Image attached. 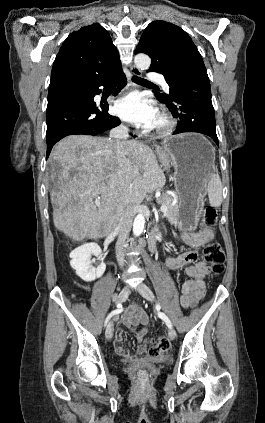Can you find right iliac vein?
<instances>
[{
	"label": "right iliac vein",
	"instance_id": "obj_1",
	"mask_svg": "<svg viewBox=\"0 0 265 423\" xmlns=\"http://www.w3.org/2000/svg\"><path fill=\"white\" fill-rule=\"evenodd\" d=\"M129 296V288L124 287L118 294L116 303H123ZM113 336V322L109 321L106 327V338L111 339Z\"/></svg>",
	"mask_w": 265,
	"mask_h": 423
}]
</instances>
